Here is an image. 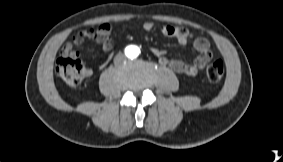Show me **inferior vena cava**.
<instances>
[{
  "instance_id": "1",
  "label": "inferior vena cava",
  "mask_w": 283,
  "mask_h": 162,
  "mask_svg": "<svg viewBox=\"0 0 283 162\" xmlns=\"http://www.w3.org/2000/svg\"><path fill=\"white\" fill-rule=\"evenodd\" d=\"M125 60H126V56L124 54H122V53H119V54H117L115 56L114 63L115 64H120V63H122Z\"/></svg>"
}]
</instances>
